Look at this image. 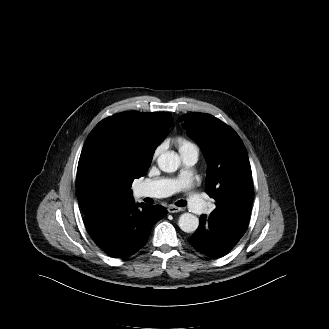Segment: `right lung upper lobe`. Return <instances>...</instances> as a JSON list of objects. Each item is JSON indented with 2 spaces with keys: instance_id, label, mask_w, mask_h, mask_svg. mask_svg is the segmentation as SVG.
Wrapping results in <instances>:
<instances>
[{
  "instance_id": "1",
  "label": "right lung upper lobe",
  "mask_w": 329,
  "mask_h": 329,
  "mask_svg": "<svg viewBox=\"0 0 329 329\" xmlns=\"http://www.w3.org/2000/svg\"><path fill=\"white\" fill-rule=\"evenodd\" d=\"M171 125L168 112L118 113L96 125L84 143L77 169L76 186L84 214L101 204L133 199V180L146 174L155 148ZM95 176L108 182L104 191L92 188Z\"/></svg>"
}]
</instances>
